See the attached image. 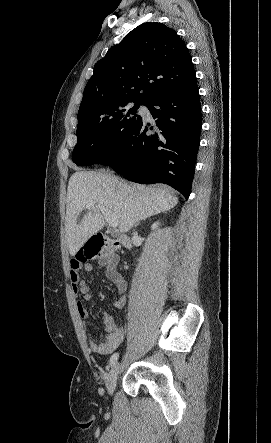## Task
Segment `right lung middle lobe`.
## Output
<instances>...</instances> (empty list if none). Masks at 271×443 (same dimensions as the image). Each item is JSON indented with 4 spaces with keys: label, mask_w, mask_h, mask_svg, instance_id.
<instances>
[{
    "label": "right lung middle lobe",
    "mask_w": 271,
    "mask_h": 443,
    "mask_svg": "<svg viewBox=\"0 0 271 443\" xmlns=\"http://www.w3.org/2000/svg\"><path fill=\"white\" fill-rule=\"evenodd\" d=\"M140 105H122L102 117L78 118L77 144L72 160L78 166L106 163L136 129L142 119L136 115Z\"/></svg>",
    "instance_id": "dd1d6c3e"
}]
</instances>
